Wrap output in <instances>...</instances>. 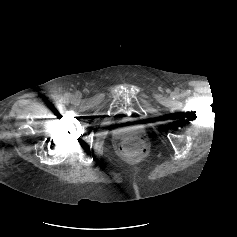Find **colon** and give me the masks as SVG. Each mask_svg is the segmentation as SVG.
<instances>
[{
    "mask_svg": "<svg viewBox=\"0 0 237 237\" xmlns=\"http://www.w3.org/2000/svg\"><path fill=\"white\" fill-rule=\"evenodd\" d=\"M120 151L129 157L142 156L147 151V144L140 134L129 132L121 141Z\"/></svg>",
    "mask_w": 237,
    "mask_h": 237,
    "instance_id": "1",
    "label": "colon"
}]
</instances>
